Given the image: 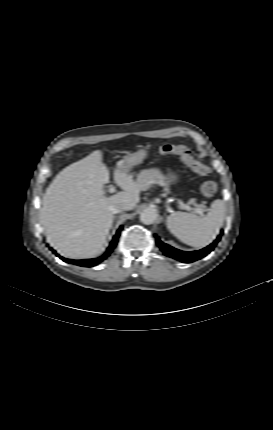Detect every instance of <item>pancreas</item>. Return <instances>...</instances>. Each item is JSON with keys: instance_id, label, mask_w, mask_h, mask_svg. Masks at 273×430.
<instances>
[{"instance_id": "obj_1", "label": "pancreas", "mask_w": 273, "mask_h": 430, "mask_svg": "<svg viewBox=\"0 0 273 430\" xmlns=\"http://www.w3.org/2000/svg\"><path fill=\"white\" fill-rule=\"evenodd\" d=\"M137 182L140 185L141 190H147L152 184H158L160 186H164V191L166 192L165 195L170 192L165 181V176L156 168L141 171L137 176Z\"/></svg>"}]
</instances>
